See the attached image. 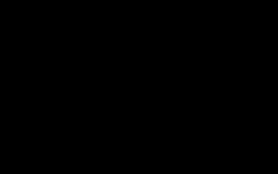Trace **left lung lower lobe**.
<instances>
[{
  "label": "left lung lower lobe",
  "mask_w": 278,
  "mask_h": 174,
  "mask_svg": "<svg viewBox=\"0 0 278 174\" xmlns=\"http://www.w3.org/2000/svg\"><path fill=\"white\" fill-rule=\"evenodd\" d=\"M215 94L213 78L207 77H196L158 93L149 107L156 139L169 147L191 143L211 114Z\"/></svg>",
  "instance_id": "0a47b994"
}]
</instances>
